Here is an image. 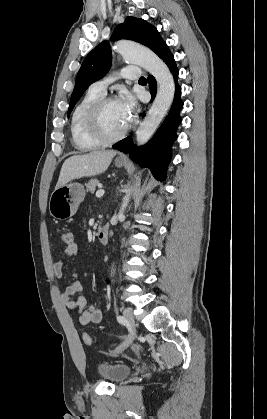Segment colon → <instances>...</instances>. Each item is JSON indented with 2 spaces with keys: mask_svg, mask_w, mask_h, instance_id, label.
Returning <instances> with one entry per match:
<instances>
[{
  "mask_svg": "<svg viewBox=\"0 0 267 419\" xmlns=\"http://www.w3.org/2000/svg\"><path fill=\"white\" fill-rule=\"evenodd\" d=\"M62 241L66 247H72L76 243L73 234L69 231L63 233ZM83 340L88 345L92 343V339L88 333L83 334Z\"/></svg>",
  "mask_w": 267,
  "mask_h": 419,
  "instance_id": "1",
  "label": "colon"
}]
</instances>
